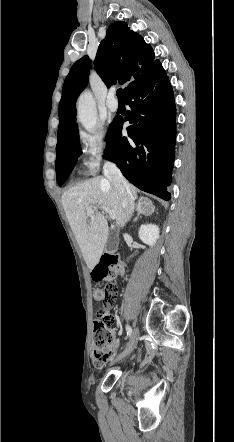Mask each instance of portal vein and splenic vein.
<instances>
[{
  "instance_id": "obj_1",
  "label": "portal vein and splenic vein",
  "mask_w": 234,
  "mask_h": 442,
  "mask_svg": "<svg viewBox=\"0 0 234 442\" xmlns=\"http://www.w3.org/2000/svg\"><path fill=\"white\" fill-rule=\"evenodd\" d=\"M99 208H101L104 212L108 213L111 219H116V213L112 210H110L109 208L105 207V206H100ZM86 212L88 215H91L93 213V206H89L86 209Z\"/></svg>"
}]
</instances>
